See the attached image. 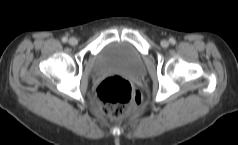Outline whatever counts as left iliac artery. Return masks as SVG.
<instances>
[{
    "mask_svg": "<svg viewBox=\"0 0 238 145\" xmlns=\"http://www.w3.org/2000/svg\"><path fill=\"white\" fill-rule=\"evenodd\" d=\"M169 41H170V43L173 44V45L176 43V40H175L174 38H170Z\"/></svg>",
    "mask_w": 238,
    "mask_h": 145,
    "instance_id": "left-iliac-artery-1",
    "label": "left iliac artery"
}]
</instances>
